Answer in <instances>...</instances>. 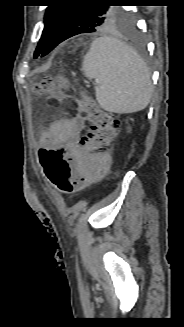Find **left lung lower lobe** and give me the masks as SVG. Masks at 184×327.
Masks as SVG:
<instances>
[{"label": "left lung lower lobe", "instance_id": "0a47b994", "mask_svg": "<svg viewBox=\"0 0 184 327\" xmlns=\"http://www.w3.org/2000/svg\"><path fill=\"white\" fill-rule=\"evenodd\" d=\"M126 28L129 30V33L134 40V44L136 48L139 50H144L145 48L144 38L138 32H136V28L135 29H133L132 27H126ZM74 35H77V33L72 29L70 30V28L67 29L64 26L63 18H61L41 55L42 56L46 55L51 50H53L59 43Z\"/></svg>", "mask_w": 184, "mask_h": 327}]
</instances>
